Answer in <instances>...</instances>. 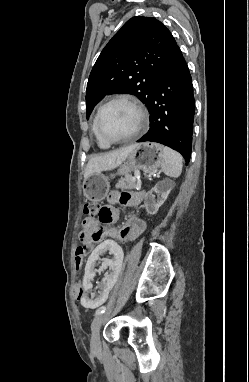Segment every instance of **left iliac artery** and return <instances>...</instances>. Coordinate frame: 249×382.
<instances>
[{
  "label": "left iliac artery",
  "mask_w": 249,
  "mask_h": 382,
  "mask_svg": "<svg viewBox=\"0 0 249 382\" xmlns=\"http://www.w3.org/2000/svg\"><path fill=\"white\" fill-rule=\"evenodd\" d=\"M105 310H106V307L103 306V307L99 308L98 310H96L95 315L102 314L105 312Z\"/></svg>",
  "instance_id": "44dca946"
}]
</instances>
